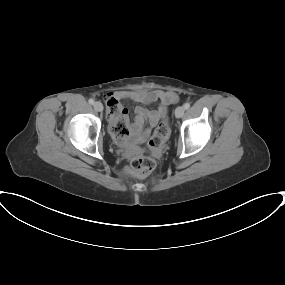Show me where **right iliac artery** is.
<instances>
[{
  "instance_id": "82829eb1",
  "label": "right iliac artery",
  "mask_w": 285,
  "mask_h": 285,
  "mask_svg": "<svg viewBox=\"0 0 285 285\" xmlns=\"http://www.w3.org/2000/svg\"><path fill=\"white\" fill-rule=\"evenodd\" d=\"M89 103L90 104H94V100L93 99H89Z\"/></svg>"
}]
</instances>
